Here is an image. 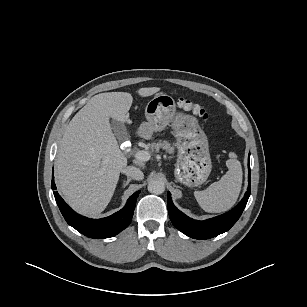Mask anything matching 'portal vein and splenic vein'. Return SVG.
<instances>
[{"label": "portal vein and splenic vein", "mask_w": 307, "mask_h": 307, "mask_svg": "<svg viewBox=\"0 0 307 307\" xmlns=\"http://www.w3.org/2000/svg\"><path fill=\"white\" fill-rule=\"evenodd\" d=\"M150 158H151V155L148 151L141 150V151L136 152L135 154V159L141 162H146L150 160Z\"/></svg>", "instance_id": "18ae733b"}]
</instances>
